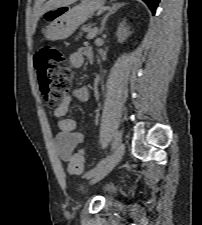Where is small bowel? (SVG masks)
<instances>
[{"label": "small bowel", "instance_id": "obj_1", "mask_svg": "<svg viewBox=\"0 0 202 225\" xmlns=\"http://www.w3.org/2000/svg\"><path fill=\"white\" fill-rule=\"evenodd\" d=\"M90 54H92V49L89 46L81 47L69 56V63L75 68H80ZM73 95L82 101H88L89 99L86 88L75 90ZM70 100L71 95H67L57 110L52 113L57 119L59 128L54 145L56 155L60 160L70 164L73 159H79L80 167L74 174H81L84 169V156L80 146L84 142V136L78 131L77 122L67 117Z\"/></svg>", "mask_w": 202, "mask_h": 225}]
</instances>
